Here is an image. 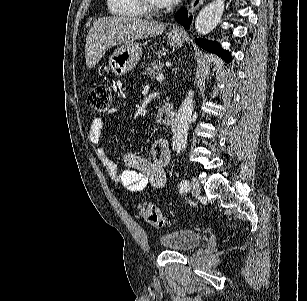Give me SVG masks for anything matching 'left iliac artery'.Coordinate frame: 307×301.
Returning a JSON list of instances; mask_svg holds the SVG:
<instances>
[{
	"instance_id": "1",
	"label": "left iliac artery",
	"mask_w": 307,
	"mask_h": 301,
	"mask_svg": "<svg viewBox=\"0 0 307 301\" xmlns=\"http://www.w3.org/2000/svg\"><path fill=\"white\" fill-rule=\"evenodd\" d=\"M190 183L188 180H182L179 184V188L181 192H185L189 190Z\"/></svg>"
}]
</instances>
